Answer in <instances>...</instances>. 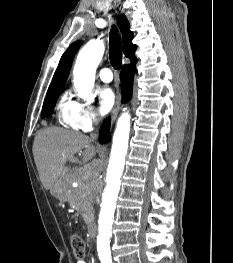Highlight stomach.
I'll return each mask as SVG.
<instances>
[{"label":"stomach","mask_w":233,"mask_h":263,"mask_svg":"<svg viewBox=\"0 0 233 263\" xmlns=\"http://www.w3.org/2000/svg\"><path fill=\"white\" fill-rule=\"evenodd\" d=\"M51 194L61 200L66 201L68 195V174L65 172L62 176L54 184L53 188L51 189Z\"/></svg>","instance_id":"stomach-1"}]
</instances>
